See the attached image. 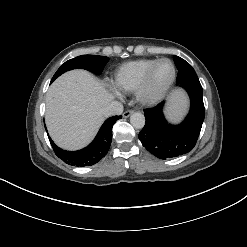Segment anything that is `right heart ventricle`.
<instances>
[{
    "mask_svg": "<svg viewBox=\"0 0 247 247\" xmlns=\"http://www.w3.org/2000/svg\"><path fill=\"white\" fill-rule=\"evenodd\" d=\"M156 59L145 58L129 61L118 67L116 70L112 84L119 92H134L145 72V70Z\"/></svg>",
    "mask_w": 247,
    "mask_h": 247,
    "instance_id": "e07e8e85",
    "label": "right heart ventricle"
}]
</instances>
